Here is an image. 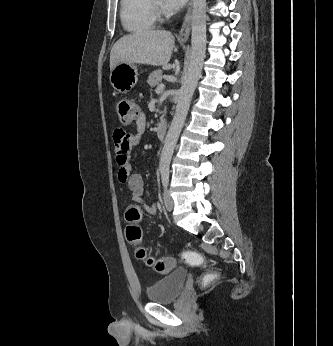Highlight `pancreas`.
Listing matches in <instances>:
<instances>
[{
    "label": "pancreas",
    "instance_id": "cf45deb5",
    "mask_svg": "<svg viewBox=\"0 0 333 346\" xmlns=\"http://www.w3.org/2000/svg\"><path fill=\"white\" fill-rule=\"evenodd\" d=\"M162 78H163L162 71L161 70H155L148 76L147 83L151 87H156L161 83Z\"/></svg>",
    "mask_w": 333,
    "mask_h": 346
}]
</instances>
